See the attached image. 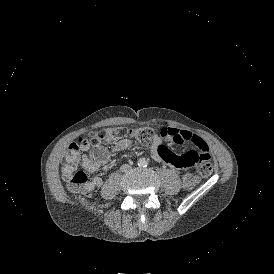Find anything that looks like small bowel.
I'll use <instances>...</instances> for the list:
<instances>
[{"label": "small bowel", "mask_w": 274, "mask_h": 274, "mask_svg": "<svg viewBox=\"0 0 274 274\" xmlns=\"http://www.w3.org/2000/svg\"><path fill=\"white\" fill-rule=\"evenodd\" d=\"M164 140H166V144L163 146ZM186 142L193 143L198 149L191 146L188 149L183 150L180 156L174 148L179 144ZM130 144L131 142L129 139L121 137L114 143L113 149L117 152L123 151L127 149ZM79 148L82 152V166L86 171L93 173L101 166L108 167L110 165L109 152L103 145L98 143L91 145L85 140L82 144H79ZM202 149L206 150L205 159L204 154L201 151ZM150 151L156 161L170 167H176L177 172L180 174L192 169L194 164H196L198 175L207 178L211 175V171L215 167L206 142L199 135L187 130L172 129L170 127L163 128L160 134L153 137ZM165 159H169L171 162H168ZM101 185L102 179L100 177H94L86 184V191L90 192L93 189L100 188Z\"/></svg>", "instance_id": "small-bowel-1"}]
</instances>
